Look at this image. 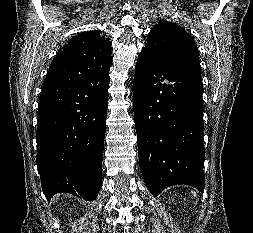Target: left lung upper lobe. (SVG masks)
<instances>
[{
    "label": "left lung upper lobe",
    "mask_w": 253,
    "mask_h": 233,
    "mask_svg": "<svg viewBox=\"0 0 253 233\" xmlns=\"http://www.w3.org/2000/svg\"><path fill=\"white\" fill-rule=\"evenodd\" d=\"M142 50L170 73L184 69L201 72L199 52L193 38L173 22L159 21L148 34Z\"/></svg>",
    "instance_id": "left-lung-upper-lobe-1"
}]
</instances>
